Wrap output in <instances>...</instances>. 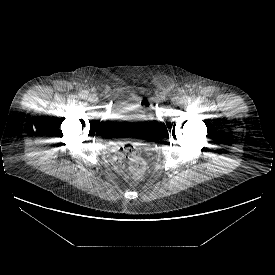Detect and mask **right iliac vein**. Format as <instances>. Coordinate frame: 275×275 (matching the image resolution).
<instances>
[{
	"mask_svg": "<svg viewBox=\"0 0 275 275\" xmlns=\"http://www.w3.org/2000/svg\"><path fill=\"white\" fill-rule=\"evenodd\" d=\"M88 100L90 102H96L98 100V98L95 94H90L89 97H88Z\"/></svg>",
	"mask_w": 275,
	"mask_h": 275,
	"instance_id": "right-iliac-vein-1",
	"label": "right iliac vein"
}]
</instances>
